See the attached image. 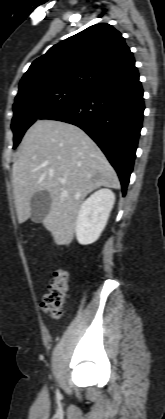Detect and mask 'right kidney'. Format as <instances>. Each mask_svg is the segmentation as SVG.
I'll return each instance as SVG.
<instances>
[{"instance_id":"1","label":"right kidney","mask_w":165,"mask_h":419,"mask_svg":"<svg viewBox=\"0 0 165 419\" xmlns=\"http://www.w3.org/2000/svg\"><path fill=\"white\" fill-rule=\"evenodd\" d=\"M115 202L109 189L94 192L81 205L76 221V238L81 245L94 243L104 230Z\"/></svg>"}]
</instances>
